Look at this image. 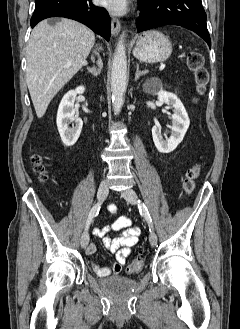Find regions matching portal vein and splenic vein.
Returning a JSON list of instances; mask_svg holds the SVG:
<instances>
[{
    "label": "portal vein and splenic vein",
    "instance_id": "portal-vein-and-splenic-vein-1",
    "mask_svg": "<svg viewBox=\"0 0 240 329\" xmlns=\"http://www.w3.org/2000/svg\"><path fill=\"white\" fill-rule=\"evenodd\" d=\"M160 70H164L165 69V63H162L159 67Z\"/></svg>",
    "mask_w": 240,
    "mask_h": 329
}]
</instances>
